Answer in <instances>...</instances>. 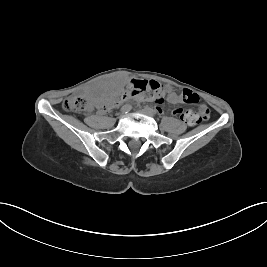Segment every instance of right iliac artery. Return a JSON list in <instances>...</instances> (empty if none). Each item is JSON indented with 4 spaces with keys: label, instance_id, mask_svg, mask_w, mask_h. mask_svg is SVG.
Here are the masks:
<instances>
[{
    "label": "right iliac artery",
    "instance_id": "right-iliac-artery-1",
    "mask_svg": "<svg viewBox=\"0 0 267 267\" xmlns=\"http://www.w3.org/2000/svg\"><path fill=\"white\" fill-rule=\"evenodd\" d=\"M131 109H132V106L127 104L121 108V111L122 113H128Z\"/></svg>",
    "mask_w": 267,
    "mask_h": 267
}]
</instances>
